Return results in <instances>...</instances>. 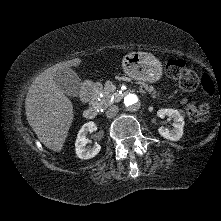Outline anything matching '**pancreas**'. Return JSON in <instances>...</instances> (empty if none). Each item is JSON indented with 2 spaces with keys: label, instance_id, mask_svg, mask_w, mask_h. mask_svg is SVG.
<instances>
[{
  "label": "pancreas",
  "instance_id": "1",
  "mask_svg": "<svg viewBox=\"0 0 221 221\" xmlns=\"http://www.w3.org/2000/svg\"><path fill=\"white\" fill-rule=\"evenodd\" d=\"M123 79V78H122ZM129 81V79H126ZM145 89L149 94H151L152 98H159L160 94L152 86H147L145 84L141 85L140 90L143 91ZM115 91V86L113 82L107 81L104 85V88L101 90L102 97L100 102L98 103L100 108H106L113 102V93Z\"/></svg>",
  "mask_w": 221,
  "mask_h": 221
}]
</instances>
